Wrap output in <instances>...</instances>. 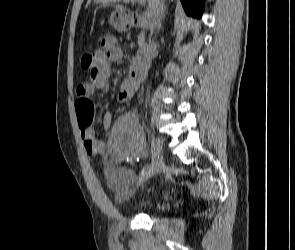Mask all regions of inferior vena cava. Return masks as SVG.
I'll list each match as a JSON object with an SVG mask.
<instances>
[{"mask_svg": "<svg viewBox=\"0 0 295 250\" xmlns=\"http://www.w3.org/2000/svg\"><path fill=\"white\" fill-rule=\"evenodd\" d=\"M154 18H153V23H152V32L154 31V29L157 27L160 23L161 17L164 14V5H163V1L161 0H156L155 2V7H154ZM156 45L154 43V41L151 42L150 45V51H151V56L155 57L156 55Z\"/></svg>", "mask_w": 295, "mask_h": 250, "instance_id": "obj_1", "label": "inferior vena cava"}]
</instances>
